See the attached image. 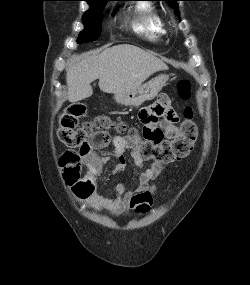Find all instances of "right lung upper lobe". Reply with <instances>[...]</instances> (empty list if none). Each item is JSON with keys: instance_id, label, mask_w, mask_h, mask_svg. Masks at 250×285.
<instances>
[{"instance_id": "cb5924a9", "label": "right lung upper lobe", "mask_w": 250, "mask_h": 285, "mask_svg": "<svg viewBox=\"0 0 250 285\" xmlns=\"http://www.w3.org/2000/svg\"><path fill=\"white\" fill-rule=\"evenodd\" d=\"M87 2H107V1H111V0H85Z\"/></svg>"}]
</instances>
